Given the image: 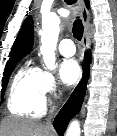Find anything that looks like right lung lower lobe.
<instances>
[{
    "label": "right lung lower lobe",
    "mask_w": 117,
    "mask_h": 136,
    "mask_svg": "<svg viewBox=\"0 0 117 136\" xmlns=\"http://www.w3.org/2000/svg\"><path fill=\"white\" fill-rule=\"evenodd\" d=\"M90 62L91 54L90 52H86L83 80L75 88L74 92L72 93L66 104L62 107V109L54 119V128L59 136L63 135L69 120L74 117L81 109L86 92V83L89 75L88 72Z\"/></svg>",
    "instance_id": "right-lung-lower-lobe-1"
}]
</instances>
